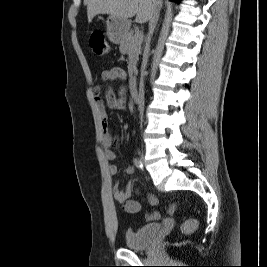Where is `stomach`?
Instances as JSON below:
<instances>
[{
  "mask_svg": "<svg viewBox=\"0 0 267 267\" xmlns=\"http://www.w3.org/2000/svg\"><path fill=\"white\" fill-rule=\"evenodd\" d=\"M108 39L117 44L130 29V21L110 15L107 19Z\"/></svg>",
  "mask_w": 267,
  "mask_h": 267,
  "instance_id": "obj_1",
  "label": "stomach"
}]
</instances>
